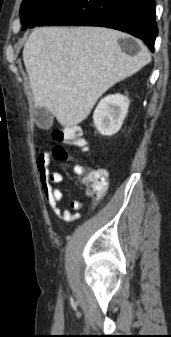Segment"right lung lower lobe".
Masks as SVG:
<instances>
[{
	"label": "right lung lower lobe",
	"instance_id": "right-lung-lower-lobe-1",
	"mask_svg": "<svg viewBox=\"0 0 171 337\" xmlns=\"http://www.w3.org/2000/svg\"><path fill=\"white\" fill-rule=\"evenodd\" d=\"M155 0H67L44 25L109 27L142 39L154 51L158 28Z\"/></svg>",
	"mask_w": 171,
	"mask_h": 337
}]
</instances>
